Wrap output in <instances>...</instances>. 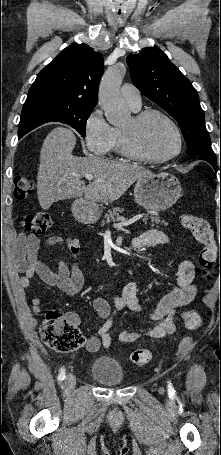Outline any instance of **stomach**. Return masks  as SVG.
I'll return each instance as SVG.
<instances>
[{
	"mask_svg": "<svg viewBox=\"0 0 221 455\" xmlns=\"http://www.w3.org/2000/svg\"><path fill=\"white\" fill-rule=\"evenodd\" d=\"M180 181L168 172H160L137 180L134 188L135 201L145 209L164 211L172 207L181 196ZM73 211L86 223L96 222L100 216L94 203L77 200Z\"/></svg>",
	"mask_w": 221,
	"mask_h": 455,
	"instance_id": "0dacf381",
	"label": "stomach"
}]
</instances>
